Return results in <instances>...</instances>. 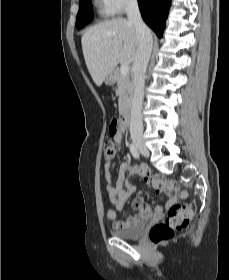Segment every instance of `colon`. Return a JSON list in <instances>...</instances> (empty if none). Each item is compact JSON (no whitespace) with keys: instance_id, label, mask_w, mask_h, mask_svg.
<instances>
[{"instance_id":"5ec220e1","label":"colon","mask_w":229,"mask_h":280,"mask_svg":"<svg viewBox=\"0 0 229 280\" xmlns=\"http://www.w3.org/2000/svg\"><path fill=\"white\" fill-rule=\"evenodd\" d=\"M118 128V122L113 120L109 133L112 136ZM118 151L117 144L109 138L104 145V159L106 163H111ZM152 185L155 187H166L170 192L174 194L182 193L178 190L175 181L165 182L160 176H157ZM191 219V211L188 207L183 205H172L164 218V220L158 224H155L149 232V239L154 244H163L172 239L178 230L185 228Z\"/></svg>"}]
</instances>
